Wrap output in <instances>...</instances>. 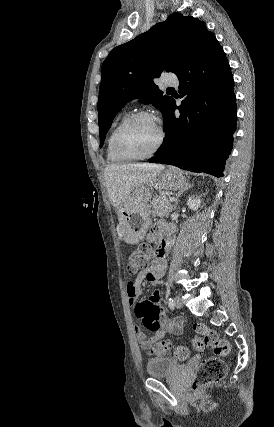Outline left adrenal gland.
Returning <instances> with one entry per match:
<instances>
[{
	"label": "left adrenal gland",
	"mask_w": 274,
	"mask_h": 427,
	"mask_svg": "<svg viewBox=\"0 0 274 427\" xmlns=\"http://www.w3.org/2000/svg\"><path fill=\"white\" fill-rule=\"evenodd\" d=\"M188 188H193V186H189V184H188V186H185V188H182V190H180V192H178V196H176V198H175V204L173 206V210H176L180 196H182L183 192H186V190H188Z\"/></svg>",
	"instance_id": "obj_1"
}]
</instances>
